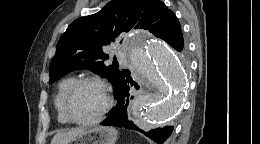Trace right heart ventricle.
Here are the masks:
<instances>
[{"mask_svg":"<svg viewBox=\"0 0 260 144\" xmlns=\"http://www.w3.org/2000/svg\"><path fill=\"white\" fill-rule=\"evenodd\" d=\"M75 81V78L73 77H67L61 80L58 84L57 92L54 97V108L56 111V117L60 124H68L69 121L65 117L62 109V102L64 95L68 88L72 85V83Z\"/></svg>","mask_w":260,"mask_h":144,"instance_id":"obj_1","label":"right heart ventricle"}]
</instances>
